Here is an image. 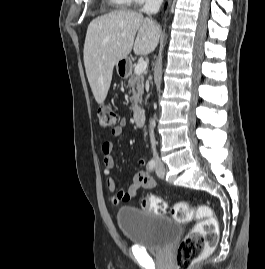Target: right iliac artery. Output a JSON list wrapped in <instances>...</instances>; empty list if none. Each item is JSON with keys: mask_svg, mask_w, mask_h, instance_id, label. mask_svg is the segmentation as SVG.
Listing matches in <instances>:
<instances>
[{"mask_svg": "<svg viewBox=\"0 0 265 269\" xmlns=\"http://www.w3.org/2000/svg\"><path fill=\"white\" fill-rule=\"evenodd\" d=\"M155 166H156L155 160L152 159L148 162L147 168L148 170L153 171Z\"/></svg>", "mask_w": 265, "mask_h": 269, "instance_id": "82829eb1", "label": "right iliac artery"}]
</instances>
